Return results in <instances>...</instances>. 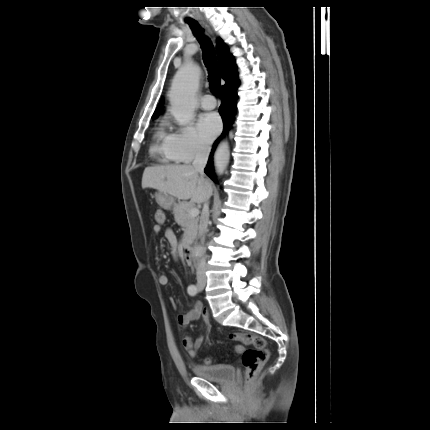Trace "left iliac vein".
Here are the masks:
<instances>
[{"label": "left iliac vein", "instance_id": "left-iliac-vein-1", "mask_svg": "<svg viewBox=\"0 0 430 430\" xmlns=\"http://www.w3.org/2000/svg\"><path fill=\"white\" fill-rule=\"evenodd\" d=\"M204 287H205V281L198 283V289H199V291H202L204 289Z\"/></svg>", "mask_w": 430, "mask_h": 430}]
</instances>
